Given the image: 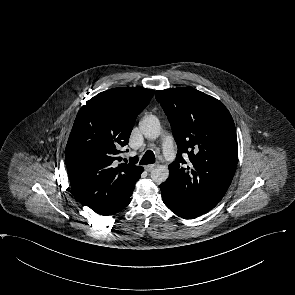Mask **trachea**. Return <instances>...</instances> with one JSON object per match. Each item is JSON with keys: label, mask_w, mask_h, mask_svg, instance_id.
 <instances>
[{"label": "trachea", "mask_w": 295, "mask_h": 295, "mask_svg": "<svg viewBox=\"0 0 295 295\" xmlns=\"http://www.w3.org/2000/svg\"><path fill=\"white\" fill-rule=\"evenodd\" d=\"M155 162V155L152 150H147L145 154L143 155L140 164L145 165V164H152Z\"/></svg>", "instance_id": "1"}]
</instances>
